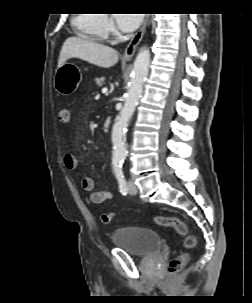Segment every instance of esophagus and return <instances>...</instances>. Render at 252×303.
Returning <instances> with one entry per match:
<instances>
[{"mask_svg":"<svg viewBox=\"0 0 252 303\" xmlns=\"http://www.w3.org/2000/svg\"><path fill=\"white\" fill-rule=\"evenodd\" d=\"M148 23H149V15H145L142 26L137 31V33L133 36V38L131 39V41L129 42V44L127 45V47L124 51V54H123L124 60L132 59L138 44L140 43V41L143 38V35L145 33Z\"/></svg>","mask_w":252,"mask_h":303,"instance_id":"34e87169","label":"esophagus"}]
</instances>
